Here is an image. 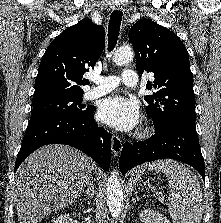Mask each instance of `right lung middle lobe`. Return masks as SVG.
Masks as SVG:
<instances>
[{
    "mask_svg": "<svg viewBox=\"0 0 221 223\" xmlns=\"http://www.w3.org/2000/svg\"><path fill=\"white\" fill-rule=\"evenodd\" d=\"M82 96L83 93L32 103L33 109L29 123L51 116L83 117L88 115L94 108H85L86 106L82 104Z\"/></svg>",
    "mask_w": 221,
    "mask_h": 223,
    "instance_id": "1",
    "label": "right lung middle lobe"
}]
</instances>
